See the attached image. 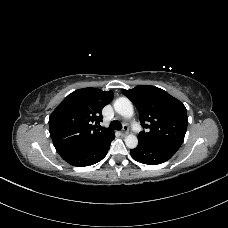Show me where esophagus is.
I'll return each mask as SVG.
<instances>
[{
	"mask_svg": "<svg viewBox=\"0 0 228 228\" xmlns=\"http://www.w3.org/2000/svg\"><path fill=\"white\" fill-rule=\"evenodd\" d=\"M128 134V127L124 125L123 130L121 131V135L126 136Z\"/></svg>",
	"mask_w": 228,
	"mask_h": 228,
	"instance_id": "obj_1",
	"label": "esophagus"
}]
</instances>
